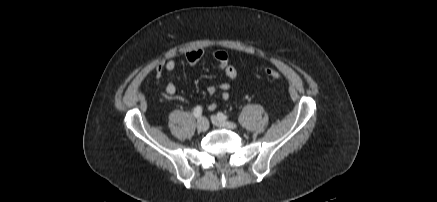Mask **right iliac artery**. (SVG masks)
Returning <instances> with one entry per match:
<instances>
[{"mask_svg":"<svg viewBox=\"0 0 437 202\" xmlns=\"http://www.w3.org/2000/svg\"><path fill=\"white\" fill-rule=\"evenodd\" d=\"M193 114L196 118H200L202 115V107L201 106H197L194 111Z\"/></svg>","mask_w":437,"mask_h":202,"instance_id":"1","label":"right iliac artery"}]
</instances>
